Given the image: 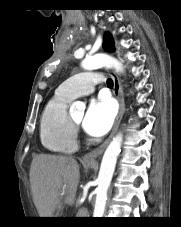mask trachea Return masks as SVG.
<instances>
[{"label":"trachea","instance_id":"trachea-1","mask_svg":"<svg viewBox=\"0 0 181 227\" xmlns=\"http://www.w3.org/2000/svg\"><path fill=\"white\" fill-rule=\"evenodd\" d=\"M107 86L108 87H113V81H112V79H108L107 80Z\"/></svg>","mask_w":181,"mask_h":227}]
</instances>
